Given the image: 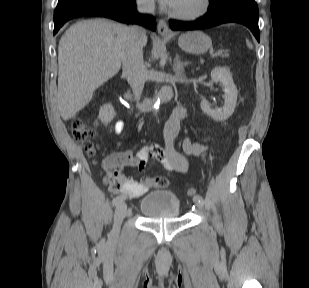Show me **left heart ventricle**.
<instances>
[{"label":"left heart ventricle","instance_id":"obj_1","mask_svg":"<svg viewBox=\"0 0 309 288\" xmlns=\"http://www.w3.org/2000/svg\"><path fill=\"white\" fill-rule=\"evenodd\" d=\"M202 0H176L171 9L177 12H195L201 8Z\"/></svg>","mask_w":309,"mask_h":288}]
</instances>
